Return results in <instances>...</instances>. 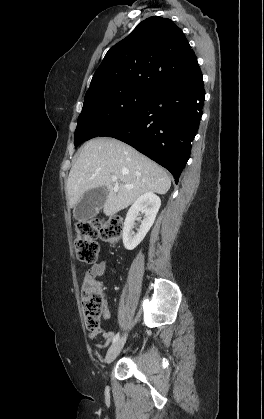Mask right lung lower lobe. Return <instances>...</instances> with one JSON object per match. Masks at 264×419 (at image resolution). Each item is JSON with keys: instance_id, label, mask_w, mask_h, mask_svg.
Instances as JSON below:
<instances>
[{"instance_id": "obj_1", "label": "right lung lower lobe", "mask_w": 264, "mask_h": 419, "mask_svg": "<svg viewBox=\"0 0 264 419\" xmlns=\"http://www.w3.org/2000/svg\"><path fill=\"white\" fill-rule=\"evenodd\" d=\"M203 78L154 91L127 119L100 136L119 139L168 169L178 183L202 116Z\"/></svg>"}]
</instances>
